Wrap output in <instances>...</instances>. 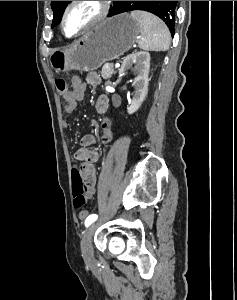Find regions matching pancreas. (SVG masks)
I'll list each match as a JSON object with an SVG mask.
<instances>
[{
    "instance_id": "cf45deb5",
    "label": "pancreas",
    "mask_w": 237,
    "mask_h": 300,
    "mask_svg": "<svg viewBox=\"0 0 237 300\" xmlns=\"http://www.w3.org/2000/svg\"><path fill=\"white\" fill-rule=\"evenodd\" d=\"M109 65H110L109 63H108V65L106 63V65H103V67H102L101 75H102V77H104V79H108V77H111V75H113V73H114L113 63L111 64L113 66L111 69L108 67Z\"/></svg>"
}]
</instances>
